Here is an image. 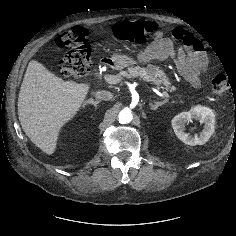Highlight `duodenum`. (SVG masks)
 <instances>
[{"instance_id": "duodenum-1", "label": "duodenum", "mask_w": 236, "mask_h": 236, "mask_svg": "<svg viewBox=\"0 0 236 236\" xmlns=\"http://www.w3.org/2000/svg\"><path fill=\"white\" fill-rule=\"evenodd\" d=\"M114 65V61L109 58H104L99 62L100 67H110Z\"/></svg>"}]
</instances>
